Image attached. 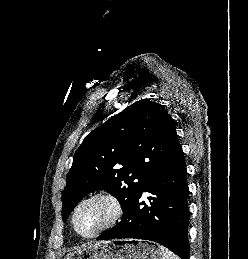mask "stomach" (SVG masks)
Segmentation results:
<instances>
[{
	"label": "stomach",
	"mask_w": 248,
	"mask_h": 259,
	"mask_svg": "<svg viewBox=\"0 0 248 259\" xmlns=\"http://www.w3.org/2000/svg\"><path fill=\"white\" fill-rule=\"evenodd\" d=\"M64 259H162V251L152 242L122 239L89 245Z\"/></svg>",
	"instance_id": "stomach-1"
}]
</instances>
